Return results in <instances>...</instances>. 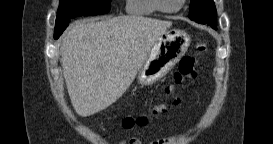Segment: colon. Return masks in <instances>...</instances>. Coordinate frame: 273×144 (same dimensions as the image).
Instances as JSON below:
<instances>
[{"instance_id":"colon-1","label":"colon","mask_w":273,"mask_h":144,"mask_svg":"<svg viewBox=\"0 0 273 144\" xmlns=\"http://www.w3.org/2000/svg\"><path fill=\"white\" fill-rule=\"evenodd\" d=\"M199 49L201 51H204L205 46L200 45ZM200 68V62L197 57H191L187 56L184 57L178 65L177 70L174 72L172 81L167 84L165 87V94L168 98L171 99L173 104H178L180 101V97L176 92V89L183 85L187 81H193L198 76ZM166 105L165 104H158L156 105L152 113L153 114H161L165 112ZM147 123V117L146 116H129L124 118L121 121V125L124 128H131L134 126H143Z\"/></svg>"}]
</instances>
